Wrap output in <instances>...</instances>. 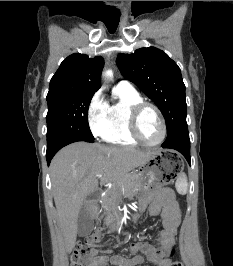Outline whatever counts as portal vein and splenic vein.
Returning <instances> with one entry per match:
<instances>
[{
	"instance_id": "18ae733b",
	"label": "portal vein and splenic vein",
	"mask_w": 233,
	"mask_h": 266,
	"mask_svg": "<svg viewBox=\"0 0 233 266\" xmlns=\"http://www.w3.org/2000/svg\"><path fill=\"white\" fill-rule=\"evenodd\" d=\"M97 177H101V174L98 173V174H97Z\"/></svg>"
}]
</instances>
